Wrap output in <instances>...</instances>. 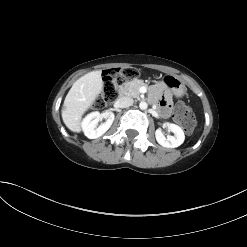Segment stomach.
I'll list each match as a JSON object with an SVG mask.
<instances>
[{"label":"stomach","instance_id":"obj_1","mask_svg":"<svg viewBox=\"0 0 247 247\" xmlns=\"http://www.w3.org/2000/svg\"><path fill=\"white\" fill-rule=\"evenodd\" d=\"M163 83L176 97H182L186 93V86L174 75H165L163 77Z\"/></svg>","mask_w":247,"mask_h":247}]
</instances>
